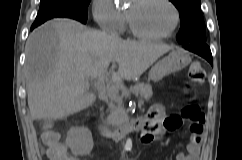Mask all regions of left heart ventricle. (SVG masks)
I'll return each mask as SVG.
<instances>
[{
    "label": "left heart ventricle",
    "mask_w": 242,
    "mask_h": 160,
    "mask_svg": "<svg viewBox=\"0 0 242 160\" xmlns=\"http://www.w3.org/2000/svg\"><path fill=\"white\" fill-rule=\"evenodd\" d=\"M126 12L140 31L151 35L166 33L175 20L172 8L164 0H133Z\"/></svg>",
    "instance_id": "obj_1"
}]
</instances>
